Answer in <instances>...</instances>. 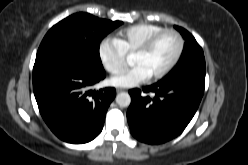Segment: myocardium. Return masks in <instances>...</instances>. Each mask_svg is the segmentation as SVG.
Instances as JSON below:
<instances>
[{"mask_svg": "<svg viewBox=\"0 0 248 165\" xmlns=\"http://www.w3.org/2000/svg\"><path fill=\"white\" fill-rule=\"evenodd\" d=\"M166 34H172L176 37L177 42H178L177 50H176V53H175L174 57L172 58V60L161 71H159L158 73H156L150 77L151 81H156V80L162 79L168 73H170L173 70V68L177 65V63L181 59V56H182L183 51H184V39H183V37L175 29H171V28L163 29V30L153 34L152 36H150L134 52V54L147 53L157 43V41Z\"/></svg>", "mask_w": 248, "mask_h": 165, "instance_id": "myocardium-1", "label": "myocardium"}]
</instances>
